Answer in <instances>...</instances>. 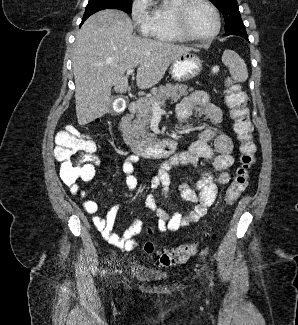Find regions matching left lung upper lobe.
<instances>
[{
	"instance_id": "obj_1",
	"label": "left lung upper lobe",
	"mask_w": 298,
	"mask_h": 325,
	"mask_svg": "<svg viewBox=\"0 0 298 325\" xmlns=\"http://www.w3.org/2000/svg\"><path fill=\"white\" fill-rule=\"evenodd\" d=\"M223 13L225 19V32L231 34L240 29H245L238 9L237 0H210Z\"/></svg>"
}]
</instances>
